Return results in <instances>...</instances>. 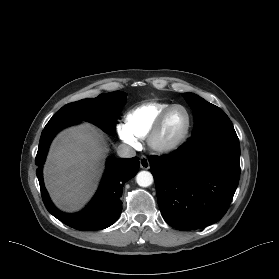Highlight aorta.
I'll return each instance as SVG.
<instances>
[{
    "label": "aorta",
    "mask_w": 279,
    "mask_h": 279,
    "mask_svg": "<svg viewBox=\"0 0 279 279\" xmlns=\"http://www.w3.org/2000/svg\"><path fill=\"white\" fill-rule=\"evenodd\" d=\"M153 181H154L153 176L148 171H140L136 175V182L141 187H148V186L152 185Z\"/></svg>",
    "instance_id": "762f6f07"
}]
</instances>
